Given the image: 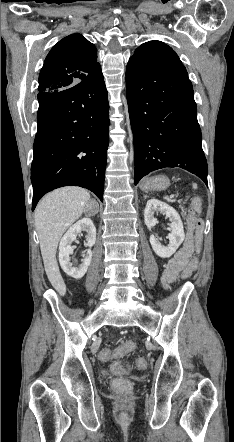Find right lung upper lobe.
<instances>
[{
	"label": "right lung upper lobe",
	"mask_w": 234,
	"mask_h": 442,
	"mask_svg": "<svg viewBox=\"0 0 234 442\" xmlns=\"http://www.w3.org/2000/svg\"><path fill=\"white\" fill-rule=\"evenodd\" d=\"M99 69L95 45L80 34L69 35L47 55L39 74L38 90L67 89Z\"/></svg>",
	"instance_id": "obj_1"
}]
</instances>
